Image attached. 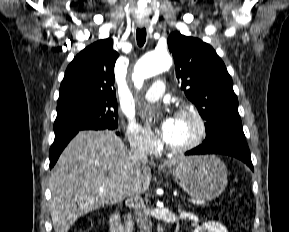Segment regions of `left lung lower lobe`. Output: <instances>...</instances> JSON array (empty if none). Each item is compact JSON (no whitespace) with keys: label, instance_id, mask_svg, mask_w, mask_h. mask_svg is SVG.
Wrapping results in <instances>:
<instances>
[{"label":"left lung lower lobe","instance_id":"1","mask_svg":"<svg viewBox=\"0 0 289 232\" xmlns=\"http://www.w3.org/2000/svg\"><path fill=\"white\" fill-rule=\"evenodd\" d=\"M201 154H225L233 156L242 160L251 168V170H254L245 138H228L208 144H201L185 153V155Z\"/></svg>","mask_w":289,"mask_h":232}]
</instances>
